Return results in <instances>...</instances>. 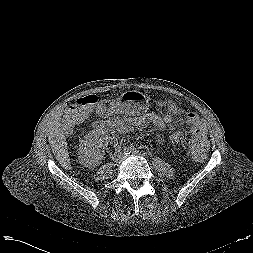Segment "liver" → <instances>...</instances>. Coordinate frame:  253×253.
Instances as JSON below:
<instances>
[{
  "label": "liver",
  "mask_w": 253,
  "mask_h": 253,
  "mask_svg": "<svg viewBox=\"0 0 253 253\" xmlns=\"http://www.w3.org/2000/svg\"><path fill=\"white\" fill-rule=\"evenodd\" d=\"M62 115L61 108L56 110L47 126L48 140L57 161L65 169L70 170V158L67 151V142L60 123Z\"/></svg>",
  "instance_id": "obj_1"
}]
</instances>
